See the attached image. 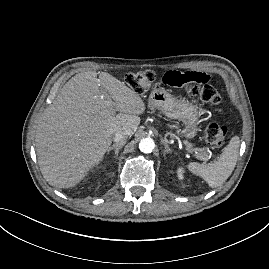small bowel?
<instances>
[{"label": "small bowel", "instance_id": "c3829d8e", "mask_svg": "<svg viewBox=\"0 0 269 269\" xmlns=\"http://www.w3.org/2000/svg\"><path fill=\"white\" fill-rule=\"evenodd\" d=\"M194 82L195 84H201L202 86L206 85H215L213 84V79L210 75L206 74L205 72H183L180 74L179 72L169 71L164 73L160 78V83L164 87H171L173 85L177 87H185V84L187 82ZM216 90V87H215ZM194 96V95H193ZM196 99L199 100V97L197 95L194 96ZM208 104H211L209 102H205Z\"/></svg>", "mask_w": 269, "mask_h": 269}]
</instances>
